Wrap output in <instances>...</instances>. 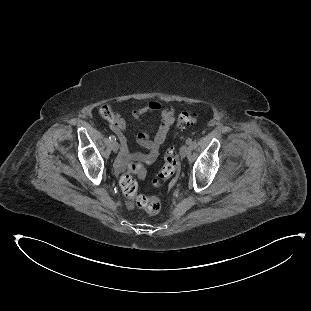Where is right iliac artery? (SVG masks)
<instances>
[{"label":"right iliac artery","instance_id":"right-iliac-artery-1","mask_svg":"<svg viewBox=\"0 0 311 311\" xmlns=\"http://www.w3.org/2000/svg\"><path fill=\"white\" fill-rule=\"evenodd\" d=\"M109 139H110L111 141H116V137H115L114 135H110V136H109Z\"/></svg>","mask_w":311,"mask_h":311}]
</instances>
